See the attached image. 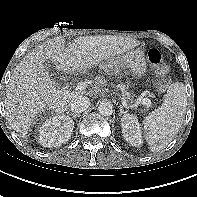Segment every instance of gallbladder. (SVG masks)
Returning <instances> with one entry per match:
<instances>
[{
  "mask_svg": "<svg viewBox=\"0 0 197 197\" xmlns=\"http://www.w3.org/2000/svg\"><path fill=\"white\" fill-rule=\"evenodd\" d=\"M45 66V70L49 73V74H52V72L57 68V66H55L54 64H52V62H47L44 64Z\"/></svg>",
  "mask_w": 197,
  "mask_h": 197,
  "instance_id": "bac80fb5",
  "label": "gallbladder"
}]
</instances>
